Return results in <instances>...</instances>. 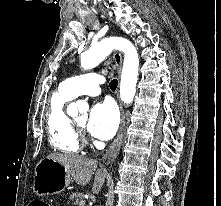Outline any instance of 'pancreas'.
<instances>
[{
    "label": "pancreas",
    "mask_w": 221,
    "mask_h": 206,
    "mask_svg": "<svg viewBox=\"0 0 221 206\" xmlns=\"http://www.w3.org/2000/svg\"><path fill=\"white\" fill-rule=\"evenodd\" d=\"M84 194L81 192H75L70 195L69 199L76 203L77 206H85Z\"/></svg>",
    "instance_id": "pancreas-1"
}]
</instances>
